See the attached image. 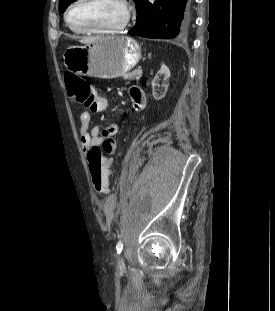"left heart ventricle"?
I'll return each mask as SVG.
<instances>
[{
    "instance_id": "1",
    "label": "left heart ventricle",
    "mask_w": 275,
    "mask_h": 311,
    "mask_svg": "<svg viewBox=\"0 0 275 311\" xmlns=\"http://www.w3.org/2000/svg\"><path fill=\"white\" fill-rule=\"evenodd\" d=\"M124 18V9L118 0H82L71 10L69 21L78 28H111Z\"/></svg>"
}]
</instances>
